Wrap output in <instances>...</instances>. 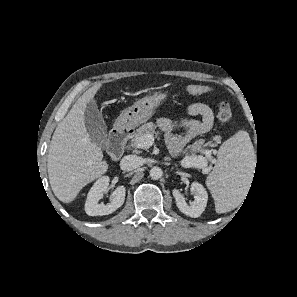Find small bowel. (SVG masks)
Here are the masks:
<instances>
[{"mask_svg":"<svg viewBox=\"0 0 297 297\" xmlns=\"http://www.w3.org/2000/svg\"><path fill=\"white\" fill-rule=\"evenodd\" d=\"M187 112L191 116H199L200 119L190 118L181 121L164 117L157 119V125L166 133V145L173 156H178L191 141L208 132L213 126V113L207 104L201 102L190 104ZM176 128H183L185 131L181 135H176L173 133Z\"/></svg>","mask_w":297,"mask_h":297,"instance_id":"obj_1","label":"small bowel"}]
</instances>
